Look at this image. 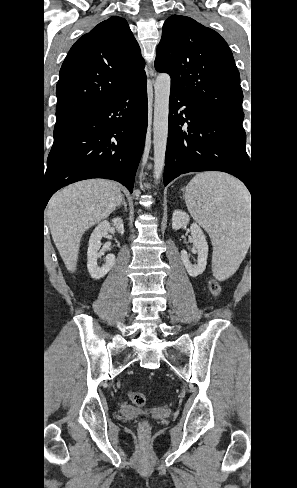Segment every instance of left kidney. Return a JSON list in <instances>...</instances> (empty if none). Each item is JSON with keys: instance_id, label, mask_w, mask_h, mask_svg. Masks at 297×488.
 Returning a JSON list of instances; mask_svg holds the SVG:
<instances>
[{"instance_id": "left-kidney-1", "label": "left kidney", "mask_w": 297, "mask_h": 488, "mask_svg": "<svg viewBox=\"0 0 297 488\" xmlns=\"http://www.w3.org/2000/svg\"><path fill=\"white\" fill-rule=\"evenodd\" d=\"M189 221L190 217L186 212H183L182 210H175L172 215V228L174 230H179L183 226L189 224ZM190 230L198 254L197 264H192L190 262L189 255L186 250L181 251V259L188 274L191 277H197L202 274L206 268L209 248L206 237L197 223L191 224Z\"/></svg>"}]
</instances>
